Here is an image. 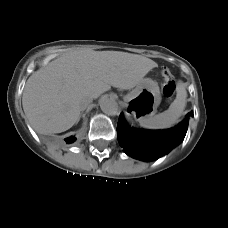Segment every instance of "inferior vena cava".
<instances>
[{
    "label": "inferior vena cava",
    "instance_id": "inferior-vena-cava-1",
    "mask_svg": "<svg viewBox=\"0 0 228 228\" xmlns=\"http://www.w3.org/2000/svg\"><path fill=\"white\" fill-rule=\"evenodd\" d=\"M91 102H92L91 96H82L78 102L79 109L81 111H84Z\"/></svg>",
    "mask_w": 228,
    "mask_h": 228
}]
</instances>
